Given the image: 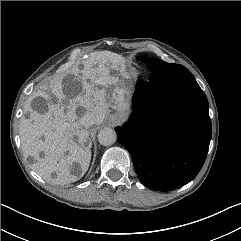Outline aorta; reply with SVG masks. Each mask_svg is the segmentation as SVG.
<instances>
[{
  "mask_svg": "<svg viewBox=\"0 0 241 241\" xmlns=\"http://www.w3.org/2000/svg\"><path fill=\"white\" fill-rule=\"evenodd\" d=\"M117 139V135L114 129L105 127L98 133V141L103 146L112 145Z\"/></svg>",
  "mask_w": 241,
  "mask_h": 241,
  "instance_id": "obj_1",
  "label": "aorta"
}]
</instances>
